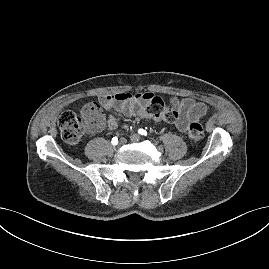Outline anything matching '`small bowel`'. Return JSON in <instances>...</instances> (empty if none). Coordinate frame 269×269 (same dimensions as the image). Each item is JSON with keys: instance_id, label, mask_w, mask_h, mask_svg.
Masks as SVG:
<instances>
[{"instance_id": "obj_1", "label": "small bowel", "mask_w": 269, "mask_h": 269, "mask_svg": "<svg viewBox=\"0 0 269 269\" xmlns=\"http://www.w3.org/2000/svg\"><path fill=\"white\" fill-rule=\"evenodd\" d=\"M154 95L149 92L130 94L117 93L114 95H102L99 97V106L105 111H116L124 115L135 116L140 114L141 110L151 100ZM176 116L172 121H166L181 132H186L190 123L198 121L208 114L209 107L197 102L192 98L172 99ZM165 121V120H164ZM117 122L112 115L102 118V122L97 130L105 128L114 129Z\"/></svg>"}]
</instances>
